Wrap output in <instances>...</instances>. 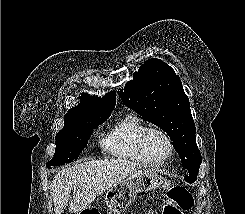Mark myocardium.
<instances>
[{
    "instance_id": "obj_1",
    "label": "myocardium",
    "mask_w": 245,
    "mask_h": 214,
    "mask_svg": "<svg viewBox=\"0 0 245 214\" xmlns=\"http://www.w3.org/2000/svg\"><path fill=\"white\" fill-rule=\"evenodd\" d=\"M152 133H158V134L162 135L168 144L169 151H168V154L163 159L152 160L151 158H149V156L147 154L146 141H147V138L149 137V135ZM138 147H139V151H140L142 157L144 158V160L147 162L148 165H151V166H159V165L164 164L165 162H167L171 158V156L174 153L173 141H172L171 137L169 136V134L166 131H164L163 129L155 128V127H148L147 129H145L141 133L139 140H138Z\"/></svg>"
}]
</instances>
